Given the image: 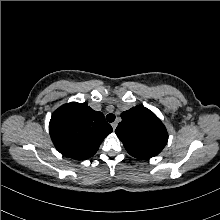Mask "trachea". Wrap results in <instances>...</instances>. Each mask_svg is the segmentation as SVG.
<instances>
[{
	"mask_svg": "<svg viewBox=\"0 0 220 220\" xmlns=\"http://www.w3.org/2000/svg\"><path fill=\"white\" fill-rule=\"evenodd\" d=\"M115 118H116V116L112 113L107 114V116H106V120L110 123L113 122L115 120Z\"/></svg>",
	"mask_w": 220,
	"mask_h": 220,
	"instance_id": "obj_1",
	"label": "trachea"
}]
</instances>
